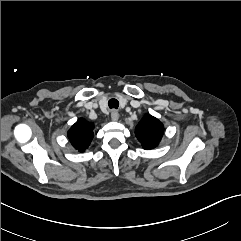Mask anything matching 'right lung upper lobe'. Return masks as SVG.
I'll use <instances>...</instances> for the list:
<instances>
[{"instance_id": "cb5924a9", "label": "right lung upper lobe", "mask_w": 241, "mask_h": 241, "mask_svg": "<svg viewBox=\"0 0 241 241\" xmlns=\"http://www.w3.org/2000/svg\"><path fill=\"white\" fill-rule=\"evenodd\" d=\"M93 123L79 119L68 131L71 144L79 151H84L93 139Z\"/></svg>"}]
</instances>
